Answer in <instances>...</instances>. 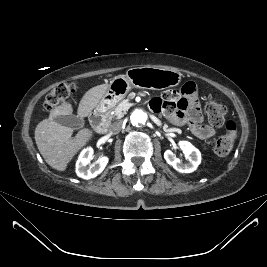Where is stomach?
I'll list each match as a JSON object with an SVG mask.
<instances>
[{
  "mask_svg": "<svg viewBox=\"0 0 267 267\" xmlns=\"http://www.w3.org/2000/svg\"><path fill=\"white\" fill-rule=\"evenodd\" d=\"M182 74L178 71L149 66L133 67L125 75L114 77L95 111L102 113L112 109L132 88L163 90L180 84Z\"/></svg>",
  "mask_w": 267,
  "mask_h": 267,
  "instance_id": "stomach-1",
  "label": "stomach"
}]
</instances>
